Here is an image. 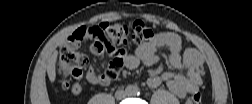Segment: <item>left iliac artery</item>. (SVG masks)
<instances>
[{
	"label": "left iliac artery",
	"instance_id": "left-iliac-artery-1",
	"mask_svg": "<svg viewBox=\"0 0 252 104\" xmlns=\"http://www.w3.org/2000/svg\"><path fill=\"white\" fill-rule=\"evenodd\" d=\"M134 93L138 96L140 95V90L138 88H135Z\"/></svg>",
	"mask_w": 252,
	"mask_h": 104
}]
</instances>
